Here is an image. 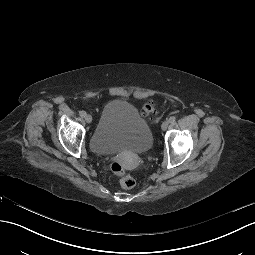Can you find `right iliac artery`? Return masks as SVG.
<instances>
[{"label": "right iliac artery", "mask_w": 255, "mask_h": 255, "mask_svg": "<svg viewBox=\"0 0 255 255\" xmlns=\"http://www.w3.org/2000/svg\"><path fill=\"white\" fill-rule=\"evenodd\" d=\"M79 114H80L81 117H85L86 116V112L85 111H80Z\"/></svg>", "instance_id": "right-iliac-artery-1"}]
</instances>
